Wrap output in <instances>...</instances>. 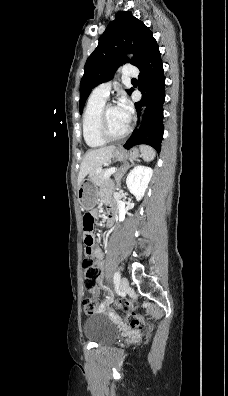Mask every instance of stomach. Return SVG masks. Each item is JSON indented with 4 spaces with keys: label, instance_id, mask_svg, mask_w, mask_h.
<instances>
[{
    "label": "stomach",
    "instance_id": "1",
    "mask_svg": "<svg viewBox=\"0 0 228 396\" xmlns=\"http://www.w3.org/2000/svg\"><path fill=\"white\" fill-rule=\"evenodd\" d=\"M126 156H129L131 159L137 158L139 156V151L135 148L130 153H127L123 149L119 148L115 149L113 152V157L118 160L124 159ZM77 196L81 208L84 210H91L97 203V186L91 181V179H83L77 188Z\"/></svg>",
    "mask_w": 228,
    "mask_h": 396
}]
</instances>
